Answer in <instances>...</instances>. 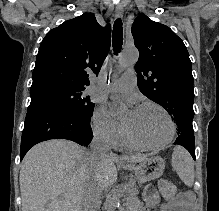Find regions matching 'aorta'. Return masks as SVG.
Segmentation results:
<instances>
[{
	"label": "aorta",
	"instance_id": "aorta-1",
	"mask_svg": "<svg viewBox=\"0 0 219 211\" xmlns=\"http://www.w3.org/2000/svg\"><path fill=\"white\" fill-rule=\"evenodd\" d=\"M139 57L138 50L136 48H126L123 50L119 57V67L120 68H127L131 65H134ZM126 107L120 105L116 107L112 111L113 116H119L125 111ZM120 191L118 189H113L108 196L106 197V201L104 203V210L105 211H115L116 208L120 204Z\"/></svg>",
	"mask_w": 219,
	"mask_h": 211
}]
</instances>
